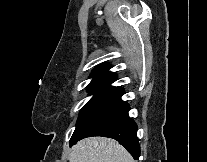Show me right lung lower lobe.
Listing matches in <instances>:
<instances>
[{
    "label": "right lung lower lobe",
    "mask_w": 207,
    "mask_h": 162,
    "mask_svg": "<svg viewBox=\"0 0 207 162\" xmlns=\"http://www.w3.org/2000/svg\"><path fill=\"white\" fill-rule=\"evenodd\" d=\"M124 93L117 88L82 123L72 136L70 145L90 136L110 137L119 141L135 160L140 156L137 125L129 118V105L121 100Z\"/></svg>",
    "instance_id": "obj_1"
}]
</instances>
